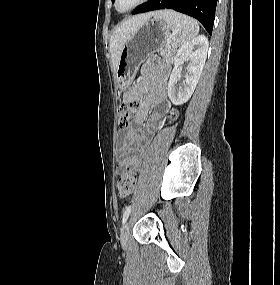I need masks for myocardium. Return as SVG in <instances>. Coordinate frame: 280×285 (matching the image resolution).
<instances>
[{
    "label": "myocardium",
    "instance_id": "obj_1",
    "mask_svg": "<svg viewBox=\"0 0 280 285\" xmlns=\"http://www.w3.org/2000/svg\"><path fill=\"white\" fill-rule=\"evenodd\" d=\"M147 0H137L131 7H129L126 10H120L118 7L119 4V0H114V8L118 13H128L130 11H133L134 9H136L137 7H139L140 5H142L143 3H145Z\"/></svg>",
    "mask_w": 280,
    "mask_h": 285
}]
</instances>
